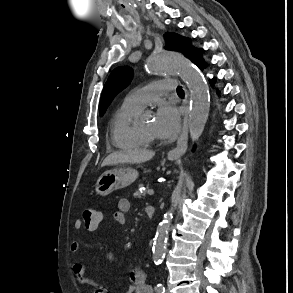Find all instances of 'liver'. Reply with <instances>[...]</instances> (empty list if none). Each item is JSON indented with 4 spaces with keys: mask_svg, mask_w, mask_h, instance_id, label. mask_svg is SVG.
Listing matches in <instances>:
<instances>
[{
    "mask_svg": "<svg viewBox=\"0 0 293 293\" xmlns=\"http://www.w3.org/2000/svg\"><path fill=\"white\" fill-rule=\"evenodd\" d=\"M153 151H138L133 153L114 152L108 155L102 163V166L117 165L123 163H143L153 158Z\"/></svg>",
    "mask_w": 293,
    "mask_h": 293,
    "instance_id": "1",
    "label": "liver"
}]
</instances>
